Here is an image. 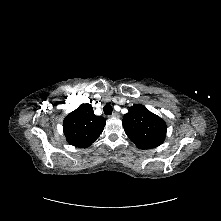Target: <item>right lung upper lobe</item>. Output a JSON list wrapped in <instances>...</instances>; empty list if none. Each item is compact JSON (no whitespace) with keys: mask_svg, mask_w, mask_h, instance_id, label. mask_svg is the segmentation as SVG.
<instances>
[{"mask_svg":"<svg viewBox=\"0 0 221 221\" xmlns=\"http://www.w3.org/2000/svg\"><path fill=\"white\" fill-rule=\"evenodd\" d=\"M106 120L94 114L90 104H81L63 121V130L69 144L89 147L102 133Z\"/></svg>","mask_w":221,"mask_h":221,"instance_id":"1","label":"right lung upper lobe"}]
</instances>
